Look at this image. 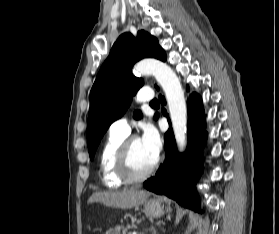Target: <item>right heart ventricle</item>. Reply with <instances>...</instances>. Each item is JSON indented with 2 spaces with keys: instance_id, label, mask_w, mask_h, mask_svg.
<instances>
[{
  "instance_id": "right-heart-ventricle-1",
  "label": "right heart ventricle",
  "mask_w": 279,
  "mask_h": 234,
  "mask_svg": "<svg viewBox=\"0 0 279 234\" xmlns=\"http://www.w3.org/2000/svg\"><path fill=\"white\" fill-rule=\"evenodd\" d=\"M125 137L126 135L124 134L110 132L101 149L99 155V168L101 172L102 183L106 187L117 188L125 183L117 174L115 167L117 150Z\"/></svg>"
}]
</instances>
